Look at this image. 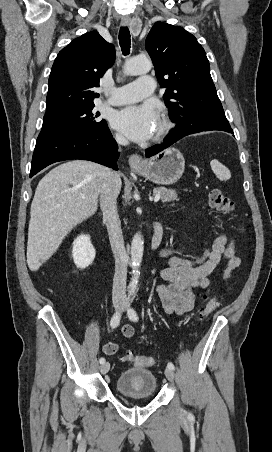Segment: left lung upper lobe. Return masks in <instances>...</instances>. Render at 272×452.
I'll return each instance as SVG.
<instances>
[{
	"label": "left lung upper lobe",
	"instance_id": "1",
	"mask_svg": "<svg viewBox=\"0 0 272 452\" xmlns=\"http://www.w3.org/2000/svg\"><path fill=\"white\" fill-rule=\"evenodd\" d=\"M145 47L161 88H167L163 98L177 127H230L206 53L191 33L180 26L156 22Z\"/></svg>",
	"mask_w": 272,
	"mask_h": 452
}]
</instances>
